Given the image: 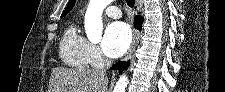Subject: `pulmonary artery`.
Returning <instances> with one entry per match:
<instances>
[{
	"label": "pulmonary artery",
	"mask_w": 225,
	"mask_h": 92,
	"mask_svg": "<svg viewBox=\"0 0 225 92\" xmlns=\"http://www.w3.org/2000/svg\"><path fill=\"white\" fill-rule=\"evenodd\" d=\"M106 2H110L109 0H105ZM105 14L111 18H120L121 17V11L118 7L110 5L106 8Z\"/></svg>",
	"instance_id": "obj_1"
}]
</instances>
